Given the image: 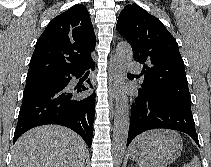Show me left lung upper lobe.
Here are the masks:
<instances>
[{
    "instance_id": "obj_1",
    "label": "left lung upper lobe",
    "mask_w": 211,
    "mask_h": 167,
    "mask_svg": "<svg viewBox=\"0 0 211 167\" xmlns=\"http://www.w3.org/2000/svg\"><path fill=\"white\" fill-rule=\"evenodd\" d=\"M119 33L134 59L144 64L141 89L191 106L184 62L178 44L159 19L138 5H127L118 18Z\"/></svg>"
}]
</instances>
